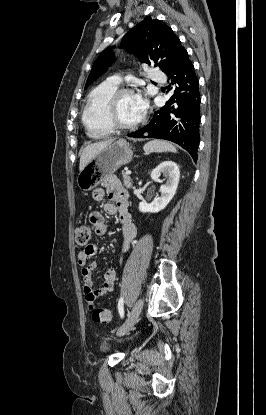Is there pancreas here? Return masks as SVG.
I'll use <instances>...</instances> for the list:
<instances>
[{
	"label": "pancreas",
	"mask_w": 266,
	"mask_h": 415,
	"mask_svg": "<svg viewBox=\"0 0 266 415\" xmlns=\"http://www.w3.org/2000/svg\"><path fill=\"white\" fill-rule=\"evenodd\" d=\"M122 175H123V182H124V185L126 186V188H131L132 187L131 177L126 173H123Z\"/></svg>",
	"instance_id": "cf45deb5"
}]
</instances>
